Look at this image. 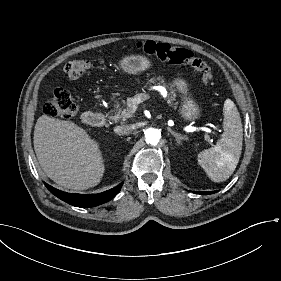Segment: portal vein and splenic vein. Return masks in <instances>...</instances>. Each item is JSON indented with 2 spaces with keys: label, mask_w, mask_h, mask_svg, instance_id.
<instances>
[{
  "label": "portal vein and splenic vein",
  "mask_w": 281,
  "mask_h": 281,
  "mask_svg": "<svg viewBox=\"0 0 281 281\" xmlns=\"http://www.w3.org/2000/svg\"><path fill=\"white\" fill-rule=\"evenodd\" d=\"M144 99H149V100H156L157 96L156 95H149V94H145L143 92H139L138 95H134L131 100L129 101V106L130 108L128 109V112L126 113V117L130 118L132 116V113L135 109V107H137V105L139 104L140 100H144ZM203 127V126H201ZM212 131V130H211Z\"/></svg>",
  "instance_id": "portal-vein-and-splenic-vein-1"
}]
</instances>
